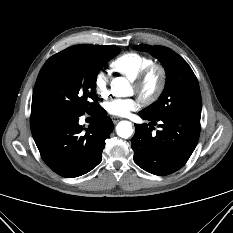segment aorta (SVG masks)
I'll use <instances>...</instances> for the list:
<instances>
[{
  "label": "aorta",
  "instance_id": "762f6f07",
  "mask_svg": "<svg viewBox=\"0 0 233 233\" xmlns=\"http://www.w3.org/2000/svg\"><path fill=\"white\" fill-rule=\"evenodd\" d=\"M130 87L129 82L123 77H117L112 81V91L117 96H124ZM117 135L122 138H129L133 133L131 122L121 121L116 126Z\"/></svg>",
  "mask_w": 233,
  "mask_h": 233
}]
</instances>
